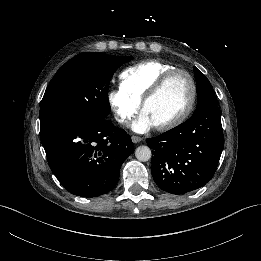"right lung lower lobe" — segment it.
Listing matches in <instances>:
<instances>
[{"instance_id":"1","label":"right lung lower lobe","mask_w":261,"mask_h":261,"mask_svg":"<svg viewBox=\"0 0 261 261\" xmlns=\"http://www.w3.org/2000/svg\"><path fill=\"white\" fill-rule=\"evenodd\" d=\"M41 142L61 185L88 198L115 187L122 163L133 152L130 136L107 118L53 123L41 131Z\"/></svg>"}]
</instances>
